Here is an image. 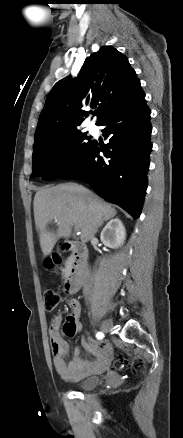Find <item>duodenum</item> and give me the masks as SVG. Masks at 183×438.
Returning a JSON list of instances; mask_svg holds the SVG:
<instances>
[{"instance_id":"duodenum-1","label":"duodenum","mask_w":183,"mask_h":438,"mask_svg":"<svg viewBox=\"0 0 183 438\" xmlns=\"http://www.w3.org/2000/svg\"><path fill=\"white\" fill-rule=\"evenodd\" d=\"M63 251L72 252V264L67 272L64 288L68 294H76L81 287L85 276L88 250L83 243L74 241H65L61 245Z\"/></svg>"}]
</instances>
